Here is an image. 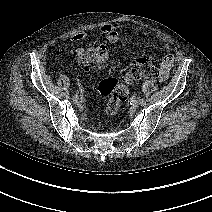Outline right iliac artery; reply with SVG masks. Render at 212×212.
Returning <instances> with one entry per match:
<instances>
[{
  "label": "right iliac artery",
  "mask_w": 212,
  "mask_h": 212,
  "mask_svg": "<svg viewBox=\"0 0 212 212\" xmlns=\"http://www.w3.org/2000/svg\"><path fill=\"white\" fill-rule=\"evenodd\" d=\"M66 98H70V94L68 92L65 93Z\"/></svg>",
  "instance_id": "1"
}]
</instances>
